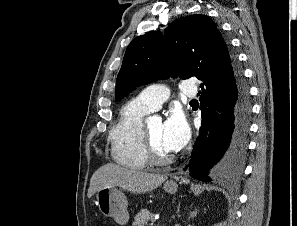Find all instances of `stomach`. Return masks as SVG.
<instances>
[{
  "mask_svg": "<svg viewBox=\"0 0 297 226\" xmlns=\"http://www.w3.org/2000/svg\"><path fill=\"white\" fill-rule=\"evenodd\" d=\"M177 189L178 184L174 181L164 183V190L169 194H174ZM96 204L103 215L113 217L117 223L123 225L128 222V201L125 194L116 186L99 189L96 193Z\"/></svg>",
  "mask_w": 297,
  "mask_h": 226,
  "instance_id": "obj_1",
  "label": "stomach"
}]
</instances>
